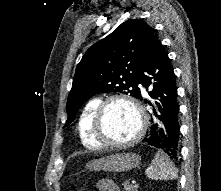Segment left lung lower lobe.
Here are the masks:
<instances>
[{"label": "left lung lower lobe", "mask_w": 221, "mask_h": 191, "mask_svg": "<svg viewBox=\"0 0 221 191\" xmlns=\"http://www.w3.org/2000/svg\"><path fill=\"white\" fill-rule=\"evenodd\" d=\"M138 83L146 90L150 86L153 87L149 95L155 99L154 106L160 113L157 115L155 112L157 120L151 119L154 124L144 141L166 153L172 160H177L180 138L177 86L168 54L157 38L154 39L148 51L139 73ZM141 98L140 94L139 99Z\"/></svg>", "instance_id": "obj_1"}]
</instances>
